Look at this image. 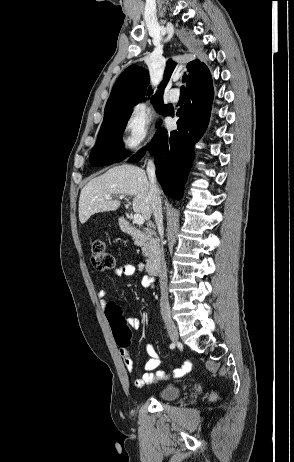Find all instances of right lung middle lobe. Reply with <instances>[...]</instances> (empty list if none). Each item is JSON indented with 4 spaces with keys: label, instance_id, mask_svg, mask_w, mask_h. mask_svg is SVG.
Here are the masks:
<instances>
[{
    "label": "right lung middle lobe",
    "instance_id": "obj_1",
    "mask_svg": "<svg viewBox=\"0 0 294 462\" xmlns=\"http://www.w3.org/2000/svg\"><path fill=\"white\" fill-rule=\"evenodd\" d=\"M162 99H152L155 108L162 115H167V106L162 104ZM132 108L107 118H104L100 128L96 144L90 154V163L95 166L109 165L114 162H120L126 155L121 134L124 132L128 119L131 115ZM161 125L159 122L158 126Z\"/></svg>",
    "mask_w": 294,
    "mask_h": 462
}]
</instances>
